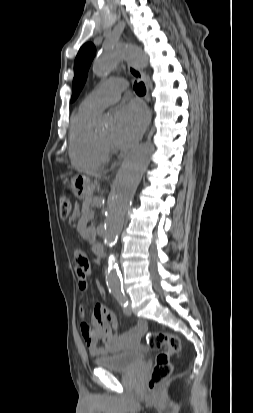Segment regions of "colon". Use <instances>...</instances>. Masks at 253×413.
<instances>
[{
  "label": "colon",
  "instance_id": "obj_1",
  "mask_svg": "<svg viewBox=\"0 0 253 413\" xmlns=\"http://www.w3.org/2000/svg\"><path fill=\"white\" fill-rule=\"evenodd\" d=\"M59 213L63 219L71 214V202L67 196L59 199ZM147 345L150 349L161 350L155 360L154 367L148 380V391L154 394L159 386L172 374L173 364L171 357L181 350L179 337L165 332H149L146 336Z\"/></svg>",
  "mask_w": 253,
  "mask_h": 413
}]
</instances>
